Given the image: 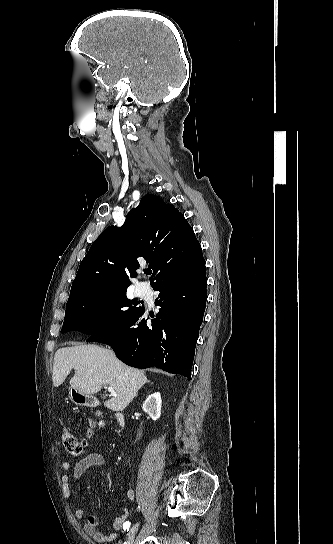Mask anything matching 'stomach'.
Returning a JSON list of instances; mask_svg holds the SVG:
<instances>
[{
  "instance_id": "stomach-1",
  "label": "stomach",
  "mask_w": 333,
  "mask_h": 544,
  "mask_svg": "<svg viewBox=\"0 0 333 544\" xmlns=\"http://www.w3.org/2000/svg\"><path fill=\"white\" fill-rule=\"evenodd\" d=\"M78 394H80V393L77 392V391H75V390H74V391H70V396H71L72 400H73L76 404H80V403L78 402V397H77Z\"/></svg>"
}]
</instances>
